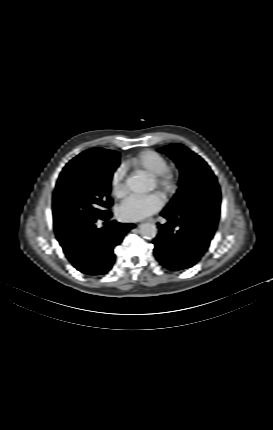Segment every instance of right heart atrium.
I'll return each mask as SVG.
<instances>
[{
  "label": "right heart atrium",
  "mask_w": 273,
  "mask_h": 430,
  "mask_svg": "<svg viewBox=\"0 0 273 430\" xmlns=\"http://www.w3.org/2000/svg\"><path fill=\"white\" fill-rule=\"evenodd\" d=\"M126 169L124 166H118L110 177V186L112 194L116 197H121L126 193L125 184Z\"/></svg>",
  "instance_id": "right-heart-atrium-1"
}]
</instances>
